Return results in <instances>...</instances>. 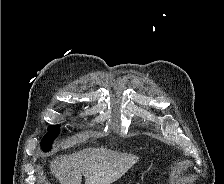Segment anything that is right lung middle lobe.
Returning a JSON list of instances; mask_svg holds the SVG:
<instances>
[{"instance_id":"right-lung-middle-lobe-1","label":"right lung middle lobe","mask_w":224,"mask_h":184,"mask_svg":"<svg viewBox=\"0 0 224 184\" xmlns=\"http://www.w3.org/2000/svg\"><path fill=\"white\" fill-rule=\"evenodd\" d=\"M59 126L52 125L48 127V133L43 137L41 148L43 151H50L53 140L58 136Z\"/></svg>"}]
</instances>
